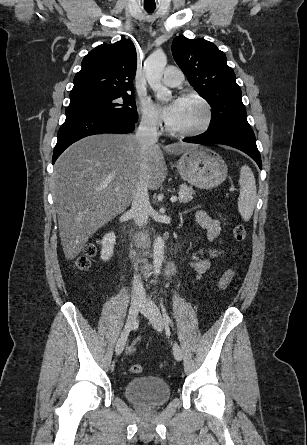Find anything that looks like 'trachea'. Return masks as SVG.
Wrapping results in <instances>:
<instances>
[{"label": "trachea", "mask_w": 307, "mask_h": 445, "mask_svg": "<svg viewBox=\"0 0 307 445\" xmlns=\"http://www.w3.org/2000/svg\"><path fill=\"white\" fill-rule=\"evenodd\" d=\"M145 10H146L147 12L151 13V12H153V11L155 10V7H154V8H145Z\"/></svg>", "instance_id": "3493384b"}]
</instances>
